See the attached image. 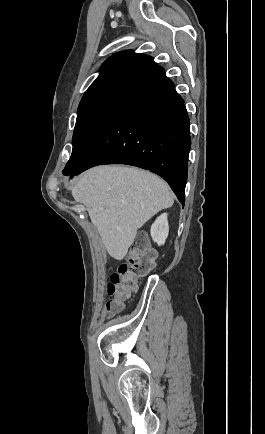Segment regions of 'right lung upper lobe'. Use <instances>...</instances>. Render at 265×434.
<instances>
[{"mask_svg":"<svg viewBox=\"0 0 265 434\" xmlns=\"http://www.w3.org/2000/svg\"><path fill=\"white\" fill-rule=\"evenodd\" d=\"M154 63L152 57L131 50L119 52L107 59L94 82L121 74L136 75Z\"/></svg>","mask_w":265,"mask_h":434,"instance_id":"obj_1","label":"right lung upper lobe"}]
</instances>
